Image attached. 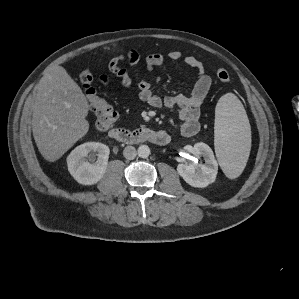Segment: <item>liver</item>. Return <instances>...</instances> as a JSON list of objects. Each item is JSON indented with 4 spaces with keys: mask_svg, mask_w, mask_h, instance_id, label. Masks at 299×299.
I'll use <instances>...</instances> for the list:
<instances>
[{
    "mask_svg": "<svg viewBox=\"0 0 299 299\" xmlns=\"http://www.w3.org/2000/svg\"><path fill=\"white\" fill-rule=\"evenodd\" d=\"M89 105L78 84L62 66L47 68L41 78L32 115L33 137L49 162L61 158L89 130Z\"/></svg>",
    "mask_w": 299,
    "mask_h": 299,
    "instance_id": "obj_1",
    "label": "liver"
}]
</instances>
